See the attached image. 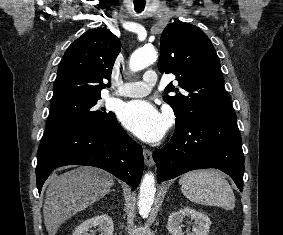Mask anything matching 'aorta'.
I'll return each instance as SVG.
<instances>
[{
    "mask_svg": "<svg viewBox=\"0 0 283 235\" xmlns=\"http://www.w3.org/2000/svg\"><path fill=\"white\" fill-rule=\"evenodd\" d=\"M157 58V51L153 46H145L137 49L130 57L129 67L131 71L137 72L153 63ZM156 192L155 177L152 172H148L144 175L139 191L138 208L139 213L143 218H147L151 206L154 201Z\"/></svg>",
    "mask_w": 283,
    "mask_h": 235,
    "instance_id": "aorta-1",
    "label": "aorta"
}]
</instances>
